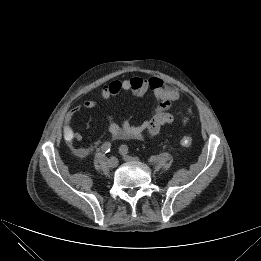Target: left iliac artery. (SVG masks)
<instances>
[{"label": "left iliac artery", "instance_id": "left-iliac-artery-1", "mask_svg": "<svg viewBox=\"0 0 261 261\" xmlns=\"http://www.w3.org/2000/svg\"><path fill=\"white\" fill-rule=\"evenodd\" d=\"M119 151L121 153H126L127 154L129 152V149H128V147L126 145H121L120 148H119Z\"/></svg>", "mask_w": 261, "mask_h": 261}]
</instances>
